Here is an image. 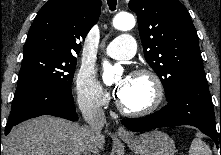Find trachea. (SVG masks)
Segmentation results:
<instances>
[{"label":"trachea","mask_w":221,"mask_h":155,"mask_svg":"<svg viewBox=\"0 0 221 155\" xmlns=\"http://www.w3.org/2000/svg\"><path fill=\"white\" fill-rule=\"evenodd\" d=\"M109 9L111 11H114L116 9V5H117V0H107Z\"/></svg>","instance_id":"trachea-1"}]
</instances>
